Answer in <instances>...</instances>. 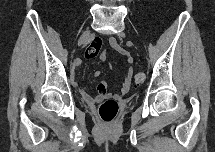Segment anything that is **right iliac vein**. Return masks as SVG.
<instances>
[{
  "instance_id": "63e3f726",
  "label": "right iliac vein",
  "mask_w": 215,
  "mask_h": 152,
  "mask_svg": "<svg viewBox=\"0 0 215 152\" xmlns=\"http://www.w3.org/2000/svg\"><path fill=\"white\" fill-rule=\"evenodd\" d=\"M89 35H90V31H85V32L81 35V37H80V39H79V41H78V45L83 44V43L88 39Z\"/></svg>"
}]
</instances>
